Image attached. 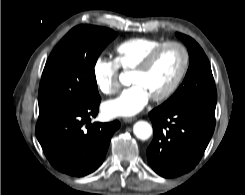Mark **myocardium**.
<instances>
[{
	"mask_svg": "<svg viewBox=\"0 0 245 195\" xmlns=\"http://www.w3.org/2000/svg\"><path fill=\"white\" fill-rule=\"evenodd\" d=\"M171 46L178 47L181 50L183 55L182 65L177 77L172 82V84L162 93L151 97V99L156 102L168 99L171 95L175 93V91L178 89L181 82L183 81L189 65V53L186 47L183 44L176 41L164 42L161 45L154 48L151 52H149L146 55V57L133 69V73H143L147 71L156 59V57L159 55V53L165 48Z\"/></svg>",
	"mask_w": 245,
	"mask_h": 195,
	"instance_id": "1",
	"label": "myocardium"
}]
</instances>
